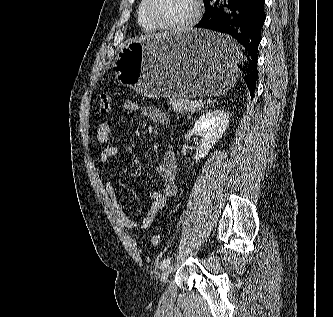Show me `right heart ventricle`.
Here are the masks:
<instances>
[{
  "mask_svg": "<svg viewBox=\"0 0 333 317\" xmlns=\"http://www.w3.org/2000/svg\"><path fill=\"white\" fill-rule=\"evenodd\" d=\"M137 20L140 28L146 32V33H152L155 32L157 29L154 28L146 19L145 14H144V0H141L139 7H138V12H137Z\"/></svg>",
  "mask_w": 333,
  "mask_h": 317,
  "instance_id": "1",
  "label": "right heart ventricle"
}]
</instances>
